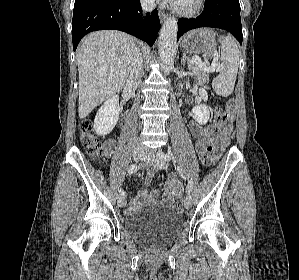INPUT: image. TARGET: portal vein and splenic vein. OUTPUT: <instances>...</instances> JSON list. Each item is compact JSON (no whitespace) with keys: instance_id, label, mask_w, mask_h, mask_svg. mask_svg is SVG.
Returning a JSON list of instances; mask_svg holds the SVG:
<instances>
[{"instance_id":"1","label":"portal vein and splenic vein","mask_w":299,"mask_h":280,"mask_svg":"<svg viewBox=\"0 0 299 280\" xmlns=\"http://www.w3.org/2000/svg\"><path fill=\"white\" fill-rule=\"evenodd\" d=\"M191 62L196 63L204 72L210 73L214 72L219 66L216 63H212L209 66L204 65L199 57H193Z\"/></svg>"}]
</instances>
